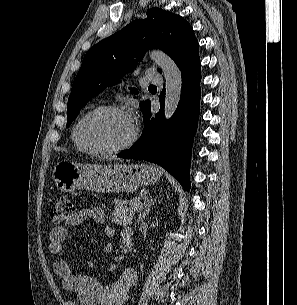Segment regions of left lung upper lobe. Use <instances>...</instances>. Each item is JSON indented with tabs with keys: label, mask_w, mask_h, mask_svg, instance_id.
Masks as SVG:
<instances>
[{
	"label": "left lung upper lobe",
	"mask_w": 297,
	"mask_h": 305,
	"mask_svg": "<svg viewBox=\"0 0 297 305\" xmlns=\"http://www.w3.org/2000/svg\"><path fill=\"white\" fill-rule=\"evenodd\" d=\"M198 47L194 31L183 17L151 8L146 19L131 22L86 53L68 99L66 127L93 96L133 70L149 49H162L181 68L200 64ZM132 92L137 94L136 89ZM146 103H140L141 109Z\"/></svg>",
	"instance_id": "left-lung-upper-lobe-1"
}]
</instances>
